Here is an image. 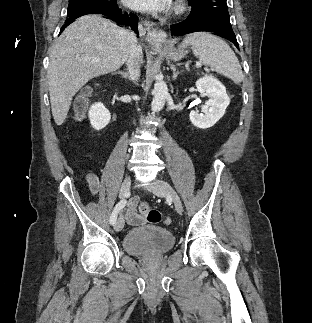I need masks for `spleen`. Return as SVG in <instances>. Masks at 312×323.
Masks as SVG:
<instances>
[{"label": "spleen", "mask_w": 312, "mask_h": 323, "mask_svg": "<svg viewBox=\"0 0 312 323\" xmlns=\"http://www.w3.org/2000/svg\"><path fill=\"white\" fill-rule=\"evenodd\" d=\"M183 46H191L194 56L214 68L217 74L231 78L234 84L243 82L242 68L233 50L218 36H213L211 32H194L187 34Z\"/></svg>", "instance_id": "3e777b00"}]
</instances>
